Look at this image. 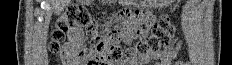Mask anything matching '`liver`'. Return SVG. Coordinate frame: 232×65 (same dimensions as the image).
<instances>
[{
	"instance_id": "liver-1",
	"label": "liver",
	"mask_w": 232,
	"mask_h": 65,
	"mask_svg": "<svg viewBox=\"0 0 232 65\" xmlns=\"http://www.w3.org/2000/svg\"><path fill=\"white\" fill-rule=\"evenodd\" d=\"M55 14H61L64 7L70 3V0H50Z\"/></svg>"
}]
</instances>
